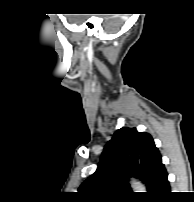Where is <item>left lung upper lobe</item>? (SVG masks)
<instances>
[{
  "instance_id": "1",
  "label": "left lung upper lobe",
  "mask_w": 194,
  "mask_h": 202,
  "mask_svg": "<svg viewBox=\"0 0 194 202\" xmlns=\"http://www.w3.org/2000/svg\"><path fill=\"white\" fill-rule=\"evenodd\" d=\"M164 165L152 136L136 128L117 130L107 143L96 172L79 187L90 202L123 201L133 196L128 178H140L152 195Z\"/></svg>"
}]
</instances>
